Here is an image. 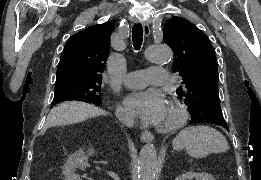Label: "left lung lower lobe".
Here are the masks:
<instances>
[{
	"instance_id": "1",
	"label": "left lung lower lobe",
	"mask_w": 261,
	"mask_h": 180,
	"mask_svg": "<svg viewBox=\"0 0 261 180\" xmlns=\"http://www.w3.org/2000/svg\"><path fill=\"white\" fill-rule=\"evenodd\" d=\"M190 124H193V123H212V124H216V125H219V126H222L224 127L225 129L228 130V127L226 125V122L224 120H218V119H215L213 117H204L202 119H191Z\"/></svg>"
}]
</instances>
